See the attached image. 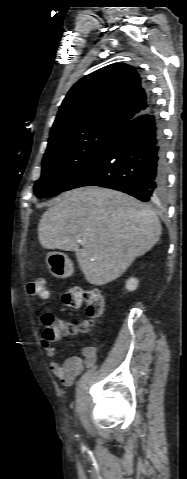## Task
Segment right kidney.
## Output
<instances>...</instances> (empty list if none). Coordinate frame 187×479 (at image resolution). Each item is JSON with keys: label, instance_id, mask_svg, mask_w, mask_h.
I'll list each match as a JSON object with an SVG mask.
<instances>
[{"label": "right kidney", "instance_id": "ca27d5eb", "mask_svg": "<svg viewBox=\"0 0 187 479\" xmlns=\"http://www.w3.org/2000/svg\"><path fill=\"white\" fill-rule=\"evenodd\" d=\"M138 287V280L136 278H129L127 281H126V285H125V288L128 290V291H134L136 290Z\"/></svg>", "mask_w": 187, "mask_h": 479}]
</instances>
